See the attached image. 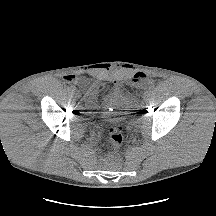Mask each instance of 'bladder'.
<instances>
[{
	"label": "bladder",
	"instance_id": "obj_1",
	"mask_svg": "<svg viewBox=\"0 0 216 216\" xmlns=\"http://www.w3.org/2000/svg\"><path fill=\"white\" fill-rule=\"evenodd\" d=\"M84 102L90 116L107 123L129 118L135 110L131 97L113 84L86 92Z\"/></svg>",
	"mask_w": 216,
	"mask_h": 216
}]
</instances>
